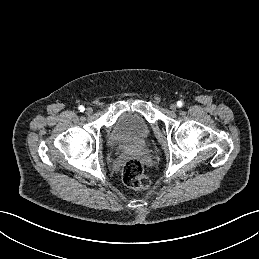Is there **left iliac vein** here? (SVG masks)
Returning a JSON list of instances; mask_svg holds the SVG:
<instances>
[{
	"mask_svg": "<svg viewBox=\"0 0 259 259\" xmlns=\"http://www.w3.org/2000/svg\"><path fill=\"white\" fill-rule=\"evenodd\" d=\"M170 109H171L172 111H176V110H177V105H176L175 103H172V104L170 105Z\"/></svg>",
	"mask_w": 259,
	"mask_h": 259,
	"instance_id": "1",
	"label": "left iliac vein"
}]
</instances>
